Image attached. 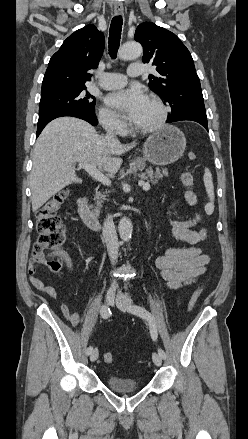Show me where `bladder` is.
Wrapping results in <instances>:
<instances>
[{
	"label": "bladder",
	"mask_w": 248,
	"mask_h": 439,
	"mask_svg": "<svg viewBox=\"0 0 248 439\" xmlns=\"http://www.w3.org/2000/svg\"><path fill=\"white\" fill-rule=\"evenodd\" d=\"M107 386L114 392H135L139 390V384L135 379L110 375L106 379Z\"/></svg>",
	"instance_id": "bladder-1"
}]
</instances>
